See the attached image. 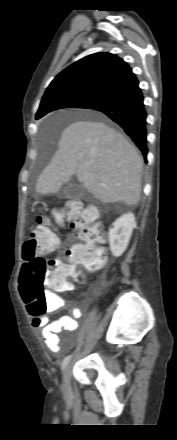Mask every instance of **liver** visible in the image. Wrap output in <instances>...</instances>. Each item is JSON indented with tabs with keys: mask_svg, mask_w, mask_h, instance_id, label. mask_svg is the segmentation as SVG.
<instances>
[{
	"mask_svg": "<svg viewBox=\"0 0 177 440\" xmlns=\"http://www.w3.org/2000/svg\"><path fill=\"white\" fill-rule=\"evenodd\" d=\"M143 159L118 131L100 121L70 124L36 183L39 194L57 193L72 175L103 203H138Z\"/></svg>",
	"mask_w": 177,
	"mask_h": 440,
	"instance_id": "liver-1",
	"label": "liver"
}]
</instances>
